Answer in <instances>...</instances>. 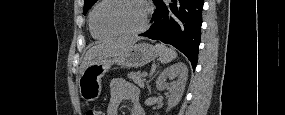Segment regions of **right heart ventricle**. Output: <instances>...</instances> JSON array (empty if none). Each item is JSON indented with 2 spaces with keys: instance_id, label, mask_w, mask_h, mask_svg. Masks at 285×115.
<instances>
[{
  "instance_id": "obj_1",
  "label": "right heart ventricle",
  "mask_w": 285,
  "mask_h": 115,
  "mask_svg": "<svg viewBox=\"0 0 285 115\" xmlns=\"http://www.w3.org/2000/svg\"><path fill=\"white\" fill-rule=\"evenodd\" d=\"M89 30H90V33L92 35V37L94 39H97V40H103V39H108V38H111L112 36H109V35H104V34H101L99 32H97L92 24H91V21H90V17H89Z\"/></svg>"
}]
</instances>
